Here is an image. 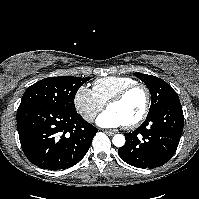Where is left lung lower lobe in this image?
<instances>
[{"instance_id": "0a47b994", "label": "left lung lower lobe", "mask_w": 199, "mask_h": 199, "mask_svg": "<svg viewBox=\"0 0 199 199\" xmlns=\"http://www.w3.org/2000/svg\"><path fill=\"white\" fill-rule=\"evenodd\" d=\"M184 125L180 102H174L148 114L144 123L132 133H125V145L118 154L126 163L153 169L168 162L174 155Z\"/></svg>"}]
</instances>
